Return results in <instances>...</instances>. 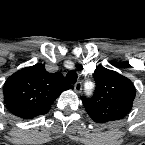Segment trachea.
Instances as JSON below:
<instances>
[{
	"instance_id": "1",
	"label": "trachea",
	"mask_w": 145,
	"mask_h": 145,
	"mask_svg": "<svg viewBox=\"0 0 145 145\" xmlns=\"http://www.w3.org/2000/svg\"><path fill=\"white\" fill-rule=\"evenodd\" d=\"M66 80L70 84H75L77 81V73L75 71H69L66 75Z\"/></svg>"
}]
</instances>
